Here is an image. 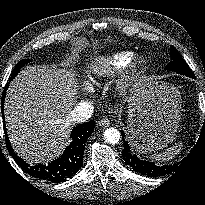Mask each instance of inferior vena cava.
I'll return each instance as SVG.
<instances>
[{"mask_svg": "<svg viewBox=\"0 0 205 205\" xmlns=\"http://www.w3.org/2000/svg\"><path fill=\"white\" fill-rule=\"evenodd\" d=\"M94 107L90 102L77 104L70 113L69 119L78 123L87 121L93 114Z\"/></svg>", "mask_w": 205, "mask_h": 205, "instance_id": "obj_1", "label": "inferior vena cava"}]
</instances>
